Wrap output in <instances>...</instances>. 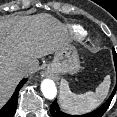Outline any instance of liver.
I'll return each mask as SVG.
<instances>
[{
    "mask_svg": "<svg viewBox=\"0 0 117 117\" xmlns=\"http://www.w3.org/2000/svg\"><path fill=\"white\" fill-rule=\"evenodd\" d=\"M63 24L49 14L0 19V107L24 76L37 70L38 59L67 45Z\"/></svg>",
    "mask_w": 117,
    "mask_h": 117,
    "instance_id": "6515ba94",
    "label": "liver"
}]
</instances>
